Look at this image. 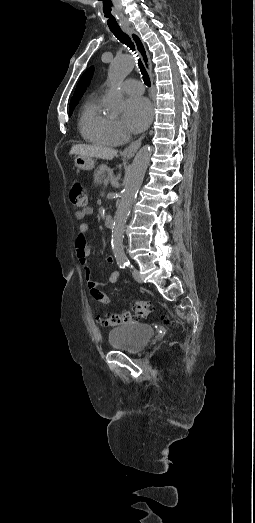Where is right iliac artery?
Returning <instances> with one entry per match:
<instances>
[{"label": "right iliac artery", "instance_id": "82829eb1", "mask_svg": "<svg viewBox=\"0 0 255 523\" xmlns=\"http://www.w3.org/2000/svg\"><path fill=\"white\" fill-rule=\"evenodd\" d=\"M126 266H127L126 261H121V262H119V267H120V268H125Z\"/></svg>", "mask_w": 255, "mask_h": 523}]
</instances>
